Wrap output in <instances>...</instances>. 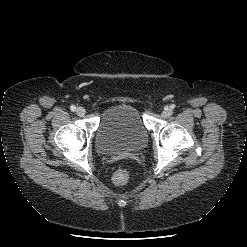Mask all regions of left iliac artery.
Instances as JSON below:
<instances>
[{
  "mask_svg": "<svg viewBox=\"0 0 247 247\" xmlns=\"http://www.w3.org/2000/svg\"><path fill=\"white\" fill-rule=\"evenodd\" d=\"M171 108L173 109L174 108V105H171Z\"/></svg>",
  "mask_w": 247,
  "mask_h": 247,
  "instance_id": "left-iliac-artery-1",
  "label": "left iliac artery"
}]
</instances>
